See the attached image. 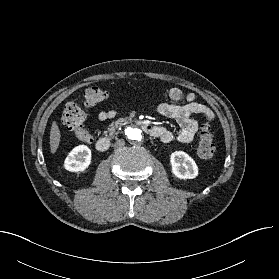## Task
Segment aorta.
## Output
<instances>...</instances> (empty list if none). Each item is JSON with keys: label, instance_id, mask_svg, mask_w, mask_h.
<instances>
[{"label": "aorta", "instance_id": "1", "mask_svg": "<svg viewBox=\"0 0 279 279\" xmlns=\"http://www.w3.org/2000/svg\"><path fill=\"white\" fill-rule=\"evenodd\" d=\"M127 138L133 142L141 141L142 133L141 130L136 127H128L126 129Z\"/></svg>", "mask_w": 279, "mask_h": 279}]
</instances>
